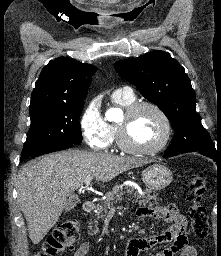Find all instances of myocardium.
Instances as JSON below:
<instances>
[{
    "label": "myocardium",
    "instance_id": "f54148a6",
    "mask_svg": "<svg viewBox=\"0 0 221 256\" xmlns=\"http://www.w3.org/2000/svg\"><path fill=\"white\" fill-rule=\"evenodd\" d=\"M149 108L155 111L163 122V135L158 143L152 147L142 148L131 144L126 136V122L129 121L140 110ZM125 122L119 123L116 126L117 142L119 147L130 154L150 156L155 155L162 151L168 144L172 135V124L169 116L158 104L151 101L134 102L125 109L124 113Z\"/></svg>",
    "mask_w": 221,
    "mask_h": 256
}]
</instances>
